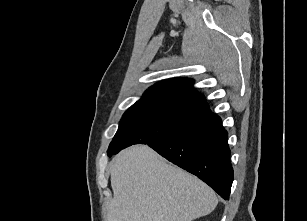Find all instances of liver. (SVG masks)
Wrapping results in <instances>:
<instances>
[{
  "label": "liver",
  "instance_id": "1",
  "mask_svg": "<svg viewBox=\"0 0 307 221\" xmlns=\"http://www.w3.org/2000/svg\"><path fill=\"white\" fill-rule=\"evenodd\" d=\"M110 173L114 197L108 221H193L218 204L209 186L146 145L119 153Z\"/></svg>",
  "mask_w": 307,
  "mask_h": 221
}]
</instances>
